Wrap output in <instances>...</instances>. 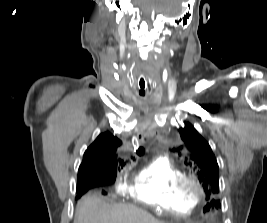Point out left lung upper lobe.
Returning a JSON list of instances; mask_svg holds the SVG:
<instances>
[{
	"label": "left lung upper lobe",
	"instance_id": "obj_1",
	"mask_svg": "<svg viewBox=\"0 0 267 223\" xmlns=\"http://www.w3.org/2000/svg\"><path fill=\"white\" fill-rule=\"evenodd\" d=\"M181 138L185 143L182 154L193 167L200 183H202L207 197L219 192V169L216 158L208 142L197 132L193 125L185 123L179 129ZM220 202L209 199L204 210L218 209Z\"/></svg>",
	"mask_w": 267,
	"mask_h": 223
}]
</instances>
